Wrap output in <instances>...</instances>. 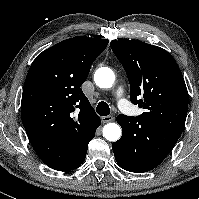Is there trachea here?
<instances>
[{"mask_svg":"<svg viewBox=\"0 0 199 199\" xmlns=\"http://www.w3.org/2000/svg\"><path fill=\"white\" fill-rule=\"evenodd\" d=\"M96 112L101 116L109 115L110 114L109 105L104 101L99 102V104L96 107Z\"/></svg>","mask_w":199,"mask_h":199,"instance_id":"obj_1","label":"trachea"}]
</instances>
